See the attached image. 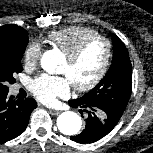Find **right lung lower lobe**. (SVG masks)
<instances>
[{
	"instance_id": "1",
	"label": "right lung lower lobe",
	"mask_w": 153,
	"mask_h": 153,
	"mask_svg": "<svg viewBox=\"0 0 153 153\" xmlns=\"http://www.w3.org/2000/svg\"><path fill=\"white\" fill-rule=\"evenodd\" d=\"M36 107L37 103L32 98L15 100L13 96H8V92L0 93V142L22 134Z\"/></svg>"
}]
</instances>
